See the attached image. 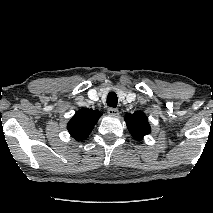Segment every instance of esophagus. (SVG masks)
Segmentation results:
<instances>
[{"label":"esophagus","mask_w":213,"mask_h":213,"mask_svg":"<svg viewBox=\"0 0 213 213\" xmlns=\"http://www.w3.org/2000/svg\"><path fill=\"white\" fill-rule=\"evenodd\" d=\"M107 113L111 116H115V115L119 114V111L116 108L110 107V108L107 109Z\"/></svg>","instance_id":"esophagus-1"}]
</instances>
